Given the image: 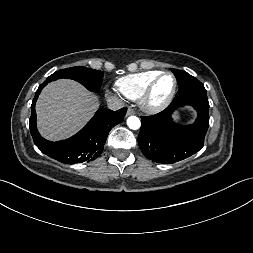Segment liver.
<instances>
[{
  "label": "liver",
  "mask_w": 253,
  "mask_h": 253,
  "mask_svg": "<svg viewBox=\"0 0 253 253\" xmlns=\"http://www.w3.org/2000/svg\"><path fill=\"white\" fill-rule=\"evenodd\" d=\"M98 106L97 97L78 82H51L36 104L39 132L51 141L68 138L83 127Z\"/></svg>",
  "instance_id": "liver-1"
}]
</instances>
